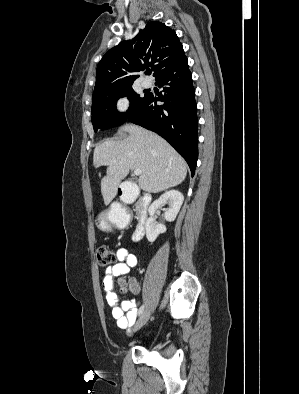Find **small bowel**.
Returning <instances> with one entry per match:
<instances>
[{
	"instance_id": "obj_1",
	"label": "small bowel",
	"mask_w": 299,
	"mask_h": 394,
	"mask_svg": "<svg viewBox=\"0 0 299 394\" xmlns=\"http://www.w3.org/2000/svg\"><path fill=\"white\" fill-rule=\"evenodd\" d=\"M118 262L108 267L102 277V286L105 291V298L112 308V317L121 329H129L136 321L139 301L137 299L125 300L119 304L115 293V280L120 276L127 275L130 269L138 264L135 254L126 247H119L116 251ZM128 290L132 295L140 293V286L135 279L130 280Z\"/></svg>"
}]
</instances>
